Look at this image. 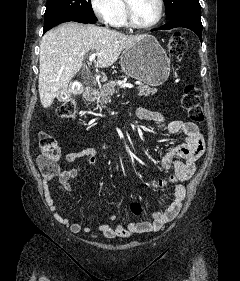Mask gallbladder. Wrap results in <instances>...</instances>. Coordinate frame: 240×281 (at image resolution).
Returning <instances> with one entry per match:
<instances>
[{
    "label": "gallbladder",
    "mask_w": 240,
    "mask_h": 281,
    "mask_svg": "<svg viewBox=\"0 0 240 281\" xmlns=\"http://www.w3.org/2000/svg\"><path fill=\"white\" fill-rule=\"evenodd\" d=\"M68 93L71 94V88L68 89ZM58 100L62 101L63 100V96H58Z\"/></svg>",
    "instance_id": "bac80fb5"
}]
</instances>
